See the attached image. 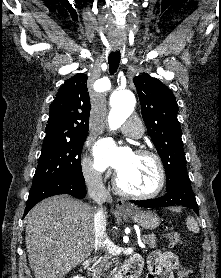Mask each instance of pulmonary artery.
Segmentation results:
<instances>
[{"mask_svg": "<svg viewBox=\"0 0 221 278\" xmlns=\"http://www.w3.org/2000/svg\"><path fill=\"white\" fill-rule=\"evenodd\" d=\"M121 130L126 136L140 138L144 132V127L140 121L131 118L122 125Z\"/></svg>", "mask_w": 221, "mask_h": 278, "instance_id": "pulmonary-artery-1", "label": "pulmonary artery"}]
</instances>
